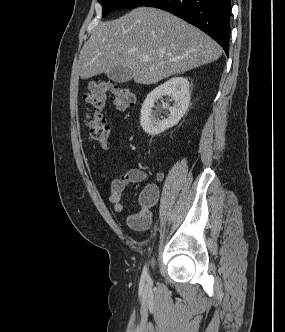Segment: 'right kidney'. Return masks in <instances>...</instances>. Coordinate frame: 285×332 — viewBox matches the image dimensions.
<instances>
[{
  "instance_id": "right-kidney-1",
  "label": "right kidney",
  "mask_w": 285,
  "mask_h": 332,
  "mask_svg": "<svg viewBox=\"0 0 285 332\" xmlns=\"http://www.w3.org/2000/svg\"><path fill=\"white\" fill-rule=\"evenodd\" d=\"M189 81L184 77H174L151 91L141 108L140 124L143 130L150 135H158L176 125L188 109L190 101ZM162 96H170L174 100L173 106L166 105L170 114L159 119V113L153 108Z\"/></svg>"
}]
</instances>
